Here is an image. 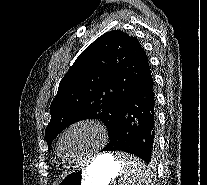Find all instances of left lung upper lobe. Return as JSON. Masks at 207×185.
<instances>
[{
  "instance_id": "1",
  "label": "left lung upper lobe",
  "mask_w": 207,
  "mask_h": 185,
  "mask_svg": "<svg viewBox=\"0 0 207 185\" xmlns=\"http://www.w3.org/2000/svg\"><path fill=\"white\" fill-rule=\"evenodd\" d=\"M150 75L148 57L136 38L120 30L100 36L59 84L45 130L48 146L66 127L85 119L103 121L110 137L120 107Z\"/></svg>"
}]
</instances>
